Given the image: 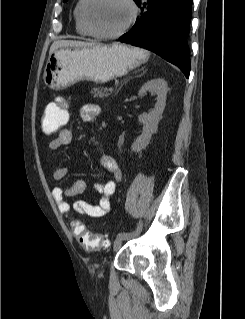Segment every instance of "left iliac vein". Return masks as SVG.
<instances>
[{"label":"left iliac vein","instance_id":"4c4485c4","mask_svg":"<svg viewBox=\"0 0 245 319\" xmlns=\"http://www.w3.org/2000/svg\"><path fill=\"white\" fill-rule=\"evenodd\" d=\"M125 239H127V238H125V237H117L116 238V240L114 241V245H113L114 252L118 251L121 248L122 243Z\"/></svg>","mask_w":245,"mask_h":319}]
</instances>
